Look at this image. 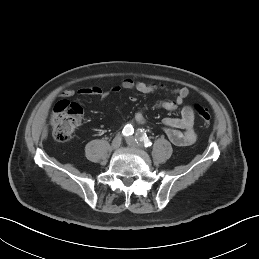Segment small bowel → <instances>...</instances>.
<instances>
[{
  "instance_id": "obj_1",
  "label": "small bowel",
  "mask_w": 259,
  "mask_h": 259,
  "mask_svg": "<svg viewBox=\"0 0 259 259\" xmlns=\"http://www.w3.org/2000/svg\"><path fill=\"white\" fill-rule=\"evenodd\" d=\"M122 90H135L142 94H155L160 91L168 92L174 96L173 100H161L158 102V108L172 112L176 110L189 97L190 90L187 87L169 88L162 84H152L143 81H136L131 78L124 79L119 85L112 87L109 91L99 86H86L75 91L68 88L60 94L64 97H71L75 94L79 96H99L105 99L109 94H117ZM135 121L143 123L145 116L143 111L135 113ZM165 132L169 140L176 146L185 147L192 145L197 139L195 128V112L189 105L183 106L181 114L178 117H167L164 119Z\"/></svg>"
}]
</instances>
